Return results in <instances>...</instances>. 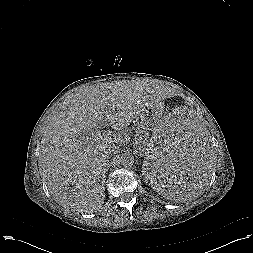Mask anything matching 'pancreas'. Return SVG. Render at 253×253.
Masks as SVG:
<instances>
[{
	"mask_svg": "<svg viewBox=\"0 0 253 253\" xmlns=\"http://www.w3.org/2000/svg\"><path fill=\"white\" fill-rule=\"evenodd\" d=\"M135 130H136V133L139 135L138 141L140 143V147L143 148V151L145 152V154L148 155L150 152V149L147 148V144L145 140L148 136L149 125H147L144 122H141L140 124L136 126Z\"/></svg>",
	"mask_w": 253,
	"mask_h": 253,
	"instance_id": "1",
	"label": "pancreas"
}]
</instances>
